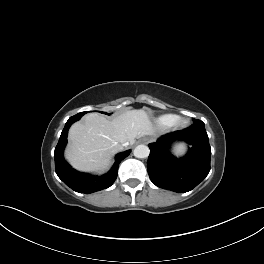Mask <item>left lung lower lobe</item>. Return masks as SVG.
<instances>
[{
    "mask_svg": "<svg viewBox=\"0 0 264 264\" xmlns=\"http://www.w3.org/2000/svg\"><path fill=\"white\" fill-rule=\"evenodd\" d=\"M180 140L192 147L186 156L176 158L170 153V147ZM148 146V174L150 180L160 188L177 193L188 192L203 181L210 171L211 148L203 122L166 134Z\"/></svg>",
    "mask_w": 264,
    "mask_h": 264,
    "instance_id": "0a47b994",
    "label": "left lung lower lobe"
}]
</instances>
